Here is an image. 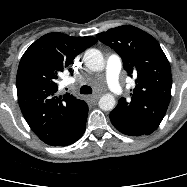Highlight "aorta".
<instances>
[{
	"mask_svg": "<svg viewBox=\"0 0 187 187\" xmlns=\"http://www.w3.org/2000/svg\"><path fill=\"white\" fill-rule=\"evenodd\" d=\"M83 61L87 68L92 71H102L105 67V61L102 53L97 49H88L85 51ZM115 98L112 94H104L99 100V107L103 111H111L115 107Z\"/></svg>",
	"mask_w": 187,
	"mask_h": 187,
	"instance_id": "obj_1",
	"label": "aorta"
}]
</instances>
